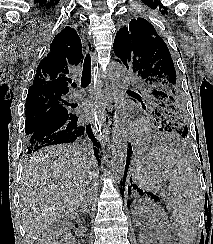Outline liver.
Masks as SVG:
<instances>
[{"mask_svg": "<svg viewBox=\"0 0 213 244\" xmlns=\"http://www.w3.org/2000/svg\"><path fill=\"white\" fill-rule=\"evenodd\" d=\"M92 156L73 145H55L28 161L20 192V207L28 244L50 225L74 217L88 187Z\"/></svg>", "mask_w": 213, "mask_h": 244, "instance_id": "obj_1", "label": "liver"}]
</instances>
